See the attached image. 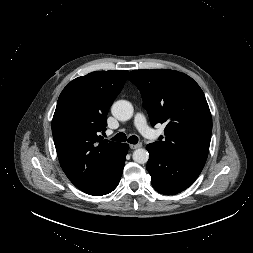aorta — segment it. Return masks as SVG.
<instances>
[{
	"label": "aorta",
	"mask_w": 253,
	"mask_h": 253,
	"mask_svg": "<svg viewBox=\"0 0 253 253\" xmlns=\"http://www.w3.org/2000/svg\"><path fill=\"white\" fill-rule=\"evenodd\" d=\"M112 115L120 121H127L133 116V106L127 100L116 101L111 108ZM149 153L146 149L138 148L133 152V160L139 164L147 163Z\"/></svg>",
	"instance_id": "obj_1"
}]
</instances>
